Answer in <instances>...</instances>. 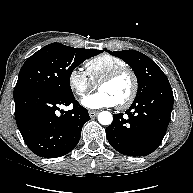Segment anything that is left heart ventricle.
Here are the masks:
<instances>
[{
  "label": "left heart ventricle",
  "instance_id": "obj_1",
  "mask_svg": "<svg viewBox=\"0 0 193 193\" xmlns=\"http://www.w3.org/2000/svg\"><path fill=\"white\" fill-rule=\"evenodd\" d=\"M132 86L131 76L124 74L112 82L101 85L99 90L108 93L119 104L128 98Z\"/></svg>",
  "mask_w": 193,
  "mask_h": 193
}]
</instances>
